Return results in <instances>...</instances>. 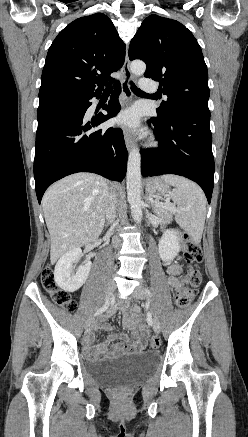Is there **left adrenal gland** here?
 <instances>
[{
	"label": "left adrenal gland",
	"mask_w": 248,
	"mask_h": 437,
	"mask_svg": "<svg viewBox=\"0 0 248 437\" xmlns=\"http://www.w3.org/2000/svg\"><path fill=\"white\" fill-rule=\"evenodd\" d=\"M146 202H147V204H150L148 195H146Z\"/></svg>",
	"instance_id": "left-adrenal-gland-1"
}]
</instances>
